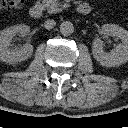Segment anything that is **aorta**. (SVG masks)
Returning <instances> with one entry per match:
<instances>
[{"label":"aorta","instance_id":"762f6f07","mask_svg":"<svg viewBox=\"0 0 128 128\" xmlns=\"http://www.w3.org/2000/svg\"><path fill=\"white\" fill-rule=\"evenodd\" d=\"M60 32L64 35V36H69L74 32V26L73 23L70 21H63L60 24Z\"/></svg>","mask_w":128,"mask_h":128}]
</instances>
